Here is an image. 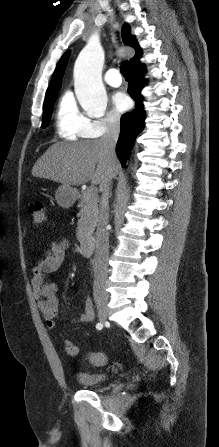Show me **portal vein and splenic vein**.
Listing matches in <instances>:
<instances>
[{"label": "portal vein and splenic vein", "mask_w": 219, "mask_h": 447, "mask_svg": "<svg viewBox=\"0 0 219 447\" xmlns=\"http://www.w3.org/2000/svg\"><path fill=\"white\" fill-rule=\"evenodd\" d=\"M87 191H88V195L89 196H93V195H95L97 193L96 189L94 187L89 188Z\"/></svg>", "instance_id": "obj_1"}]
</instances>
